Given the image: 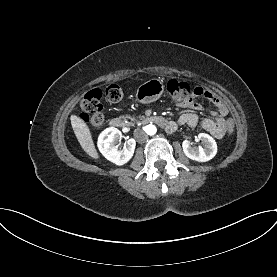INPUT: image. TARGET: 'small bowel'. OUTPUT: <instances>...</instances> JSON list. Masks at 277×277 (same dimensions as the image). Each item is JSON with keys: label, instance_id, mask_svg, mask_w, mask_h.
<instances>
[{"label": "small bowel", "instance_id": "small-bowel-1", "mask_svg": "<svg viewBox=\"0 0 277 277\" xmlns=\"http://www.w3.org/2000/svg\"><path fill=\"white\" fill-rule=\"evenodd\" d=\"M197 97H204L208 99L215 107V109L212 111L214 118L202 119L200 122L201 127L215 138H223L227 131L225 128V123L228 115V109L223 101L213 92L202 87H197L194 89L192 98L178 103V106L187 110L200 111L202 109L201 104L194 100V98ZM178 122L182 125L194 127L198 123V117L193 112H187L183 113L179 117Z\"/></svg>", "mask_w": 277, "mask_h": 277}]
</instances>
